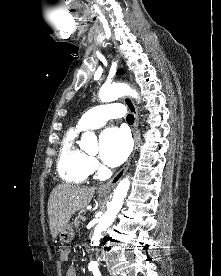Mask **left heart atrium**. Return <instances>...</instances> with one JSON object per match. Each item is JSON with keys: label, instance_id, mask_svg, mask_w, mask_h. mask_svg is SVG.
<instances>
[{"label": "left heart atrium", "instance_id": "39dd6f15", "mask_svg": "<svg viewBox=\"0 0 221 276\" xmlns=\"http://www.w3.org/2000/svg\"><path fill=\"white\" fill-rule=\"evenodd\" d=\"M131 151L128 134L118 128L106 129L100 137V157L109 166L122 164Z\"/></svg>", "mask_w": 221, "mask_h": 276}]
</instances>
